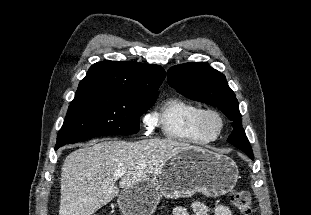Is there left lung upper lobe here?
I'll return each instance as SVG.
<instances>
[{"mask_svg":"<svg viewBox=\"0 0 311 215\" xmlns=\"http://www.w3.org/2000/svg\"><path fill=\"white\" fill-rule=\"evenodd\" d=\"M167 79L169 85L185 97L222 110L233 121V132L227 141L254 159L242 127L239 103L222 73L205 62H191L171 67Z\"/></svg>","mask_w":311,"mask_h":215,"instance_id":"left-lung-upper-lobe-1","label":"left lung upper lobe"}]
</instances>
